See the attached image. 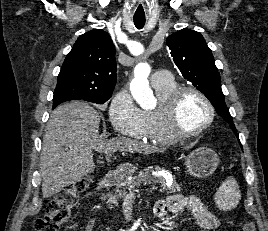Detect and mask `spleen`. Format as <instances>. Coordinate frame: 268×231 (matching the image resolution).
I'll return each mask as SVG.
<instances>
[{
	"mask_svg": "<svg viewBox=\"0 0 268 231\" xmlns=\"http://www.w3.org/2000/svg\"><path fill=\"white\" fill-rule=\"evenodd\" d=\"M241 199V193L237 181L228 177L218 188L214 200L220 210L235 208Z\"/></svg>",
	"mask_w": 268,
	"mask_h": 231,
	"instance_id": "3e777b00",
	"label": "spleen"
}]
</instances>
